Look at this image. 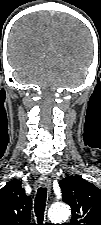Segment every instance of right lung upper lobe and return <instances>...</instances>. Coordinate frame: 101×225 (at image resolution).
<instances>
[{
	"instance_id": "1",
	"label": "right lung upper lobe",
	"mask_w": 101,
	"mask_h": 225,
	"mask_svg": "<svg viewBox=\"0 0 101 225\" xmlns=\"http://www.w3.org/2000/svg\"><path fill=\"white\" fill-rule=\"evenodd\" d=\"M21 184L13 179L0 189V225H31V198Z\"/></svg>"
}]
</instances>
